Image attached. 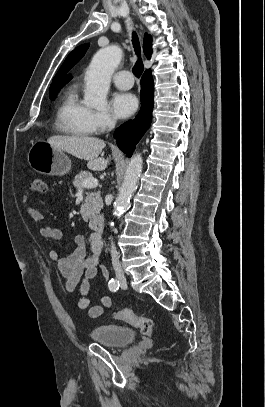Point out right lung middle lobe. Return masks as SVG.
Listing matches in <instances>:
<instances>
[{
  "mask_svg": "<svg viewBox=\"0 0 265 407\" xmlns=\"http://www.w3.org/2000/svg\"><path fill=\"white\" fill-rule=\"evenodd\" d=\"M65 84H58V85H51L50 90H49V97L50 99H54L59 92V90L64 86Z\"/></svg>",
  "mask_w": 265,
  "mask_h": 407,
  "instance_id": "right-lung-middle-lobe-1",
  "label": "right lung middle lobe"
}]
</instances>
